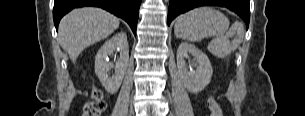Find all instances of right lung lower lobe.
Here are the masks:
<instances>
[{
	"instance_id": "obj_1",
	"label": "right lung lower lobe",
	"mask_w": 305,
	"mask_h": 116,
	"mask_svg": "<svg viewBox=\"0 0 305 116\" xmlns=\"http://www.w3.org/2000/svg\"><path fill=\"white\" fill-rule=\"evenodd\" d=\"M140 3L141 0H55L53 8L54 24L57 30L61 18L75 7L96 6L123 18L136 35Z\"/></svg>"
}]
</instances>
